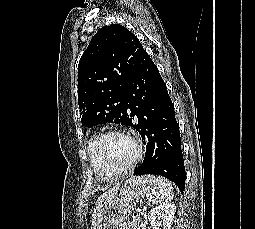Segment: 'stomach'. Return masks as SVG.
Masks as SVG:
<instances>
[{"label": "stomach", "mask_w": 255, "mask_h": 229, "mask_svg": "<svg viewBox=\"0 0 255 229\" xmlns=\"http://www.w3.org/2000/svg\"><path fill=\"white\" fill-rule=\"evenodd\" d=\"M156 186L153 176H132L126 179L117 195L93 215L91 229H116L129 217L132 203L149 196Z\"/></svg>", "instance_id": "obj_1"}]
</instances>
